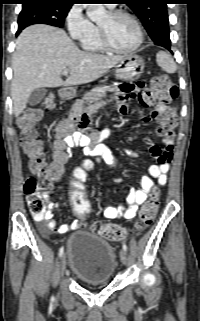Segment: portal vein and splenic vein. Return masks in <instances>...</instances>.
Masks as SVG:
<instances>
[{
  "mask_svg": "<svg viewBox=\"0 0 200 321\" xmlns=\"http://www.w3.org/2000/svg\"><path fill=\"white\" fill-rule=\"evenodd\" d=\"M68 74V70L63 71V75H67Z\"/></svg>",
  "mask_w": 200,
  "mask_h": 321,
  "instance_id": "portal-vein-and-splenic-vein-1",
  "label": "portal vein and splenic vein"
}]
</instances>
